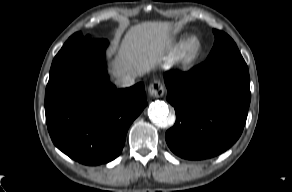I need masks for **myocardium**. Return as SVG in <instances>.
I'll use <instances>...</instances> for the list:
<instances>
[{
	"label": "myocardium",
	"instance_id": "1",
	"mask_svg": "<svg viewBox=\"0 0 292 192\" xmlns=\"http://www.w3.org/2000/svg\"><path fill=\"white\" fill-rule=\"evenodd\" d=\"M202 43L197 36L191 35L183 39L174 53V61L182 69L190 68L199 58Z\"/></svg>",
	"mask_w": 292,
	"mask_h": 192
}]
</instances>
